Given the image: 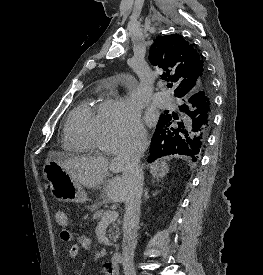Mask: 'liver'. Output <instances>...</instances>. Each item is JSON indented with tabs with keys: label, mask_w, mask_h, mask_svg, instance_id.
Masks as SVG:
<instances>
[{
	"label": "liver",
	"mask_w": 263,
	"mask_h": 275,
	"mask_svg": "<svg viewBox=\"0 0 263 275\" xmlns=\"http://www.w3.org/2000/svg\"><path fill=\"white\" fill-rule=\"evenodd\" d=\"M47 160L57 161L65 171L78 183L88 188L100 186L108 174V170L117 173L120 166L114 159L111 162L104 157H67L61 152H50ZM154 178L159 180L169 172L165 161H156L149 165ZM127 183L123 177L115 176L107 181L104 198L107 202L122 203L126 200Z\"/></svg>",
	"instance_id": "6515ba94"
}]
</instances>
